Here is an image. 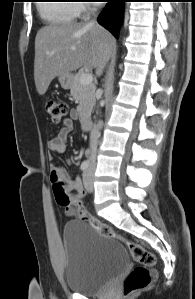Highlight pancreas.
I'll list each match as a JSON object with an SVG mask.
<instances>
[{"label": "pancreas", "mask_w": 195, "mask_h": 299, "mask_svg": "<svg viewBox=\"0 0 195 299\" xmlns=\"http://www.w3.org/2000/svg\"><path fill=\"white\" fill-rule=\"evenodd\" d=\"M85 73L84 69L78 71V73L74 76L71 87V96L76 101H79L77 112L80 118L90 115L95 104V85L93 83L89 85H82L80 83V78Z\"/></svg>", "instance_id": "obj_1"}]
</instances>
